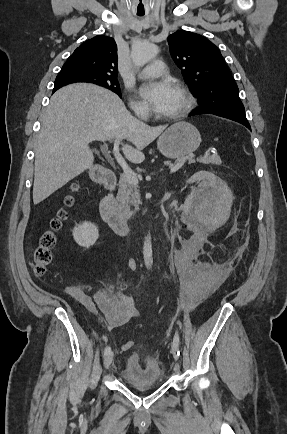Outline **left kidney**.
Returning a JSON list of instances; mask_svg holds the SVG:
<instances>
[{"label":"left kidney","instance_id":"5707ae66","mask_svg":"<svg viewBox=\"0 0 287 434\" xmlns=\"http://www.w3.org/2000/svg\"><path fill=\"white\" fill-rule=\"evenodd\" d=\"M196 181H200V184L185 200V214L221 222L233 203L231 190L222 179L208 171L195 173L187 183Z\"/></svg>","mask_w":287,"mask_h":434}]
</instances>
